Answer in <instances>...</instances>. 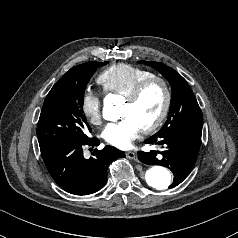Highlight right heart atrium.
Wrapping results in <instances>:
<instances>
[{"instance_id":"right-heart-atrium-1","label":"right heart atrium","mask_w":238,"mask_h":238,"mask_svg":"<svg viewBox=\"0 0 238 238\" xmlns=\"http://www.w3.org/2000/svg\"><path fill=\"white\" fill-rule=\"evenodd\" d=\"M82 110L93 124H100L102 120V97L93 90H87L82 96Z\"/></svg>"}]
</instances>
